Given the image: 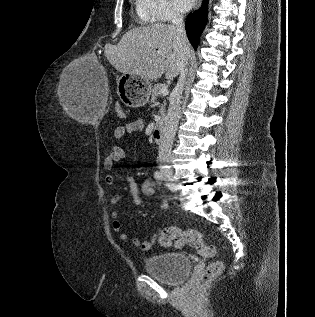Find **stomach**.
Returning <instances> with one entry per match:
<instances>
[{"instance_id":"stomach-1","label":"stomach","mask_w":315,"mask_h":317,"mask_svg":"<svg viewBox=\"0 0 315 317\" xmlns=\"http://www.w3.org/2000/svg\"><path fill=\"white\" fill-rule=\"evenodd\" d=\"M151 92L150 81L137 74L123 73L117 79V94L127 107L139 108L144 106L148 102Z\"/></svg>"}]
</instances>
